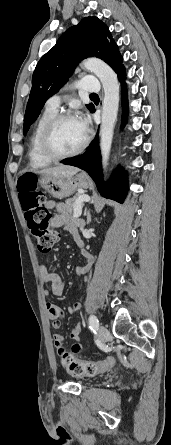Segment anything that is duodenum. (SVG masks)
I'll return each instance as SVG.
<instances>
[{
  "mask_svg": "<svg viewBox=\"0 0 171 445\" xmlns=\"http://www.w3.org/2000/svg\"><path fill=\"white\" fill-rule=\"evenodd\" d=\"M78 243L81 245L82 244L81 240H79Z\"/></svg>",
  "mask_w": 171,
  "mask_h": 445,
  "instance_id": "1",
  "label": "duodenum"
}]
</instances>
